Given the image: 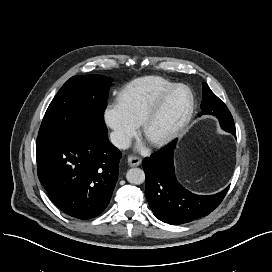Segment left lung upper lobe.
Masks as SVG:
<instances>
[{
  "instance_id": "1",
  "label": "left lung upper lobe",
  "mask_w": 272,
  "mask_h": 272,
  "mask_svg": "<svg viewBox=\"0 0 272 272\" xmlns=\"http://www.w3.org/2000/svg\"><path fill=\"white\" fill-rule=\"evenodd\" d=\"M201 114H211L219 117L223 113H230L226 105L211 91L206 83H203V100L201 103ZM230 126L235 129L233 120Z\"/></svg>"
}]
</instances>
